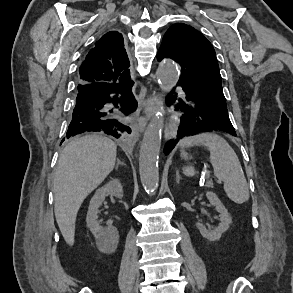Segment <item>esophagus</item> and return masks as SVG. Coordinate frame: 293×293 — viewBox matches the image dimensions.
<instances>
[{
	"label": "esophagus",
	"instance_id": "34e87169",
	"mask_svg": "<svg viewBox=\"0 0 293 293\" xmlns=\"http://www.w3.org/2000/svg\"><path fill=\"white\" fill-rule=\"evenodd\" d=\"M159 100L156 96L148 97L144 102H142L137 110V130L143 132L149 121V119L154 115Z\"/></svg>",
	"mask_w": 293,
	"mask_h": 293
}]
</instances>
